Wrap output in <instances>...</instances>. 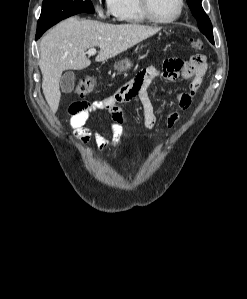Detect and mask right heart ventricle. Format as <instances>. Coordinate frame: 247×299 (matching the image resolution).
I'll use <instances>...</instances> for the list:
<instances>
[{
	"instance_id": "1",
	"label": "right heart ventricle",
	"mask_w": 247,
	"mask_h": 299,
	"mask_svg": "<svg viewBox=\"0 0 247 299\" xmlns=\"http://www.w3.org/2000/svg\"><path fill=\"white\" fill-rule=\"evenodd\" d=\"M110 10L114 18L123 23L142 24L147 19L142 14L139 0H110Z\"/></svg>"
}]
</instances>
